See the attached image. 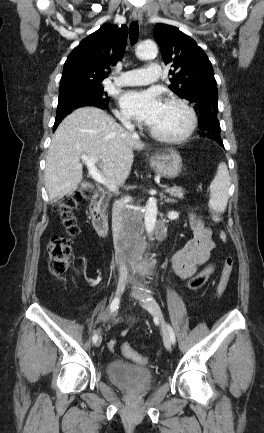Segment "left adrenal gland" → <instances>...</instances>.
I'll return each instance as SVG.
<instances>
[{"mask_svg":"<svg viewBox=\"0 0 264 433\" xmlns=\"http://www.w3.org/2000/svg\"><path fill=\"white\" fill-rule=\"evenodd\" d=\"M165 202H166V203H175L176 200H175V199H172V198H165Z\"/></svg>","mask_w":264,"mask_h":433,"instance_id":"a2214340","label":"left adrenal gland"}]
</instances>
